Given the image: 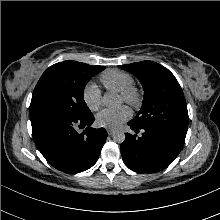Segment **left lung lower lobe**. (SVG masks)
I'll list each match as a JSON object with an SVG mask.
<instances>
[{
    "instance_id": "left-lung-lower-lobe-1",
    "label": "left lung lower lobe",
    "mask_w": 220,
    "mask_h": 220,
    "mask_svg": "<svg viewBox=\"0 0 220 220\" xmlns=\"http://www.w3.org/2000/svg\"><path fill=\"white\" fill-rule=\"evenodd\" d=\"M142 136L125 134L121 154L126 166L138 173H155L167 168L182 150L185 137L163 128L137 127L128 122Z\"/></svg>"
}]
</instances>
